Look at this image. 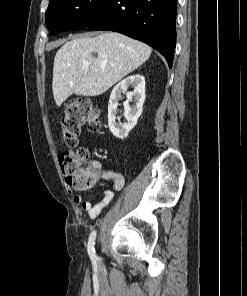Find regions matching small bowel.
I'll use <instances>...</instances> for the list:
<instances>
[{"label":"small bowel","instance_id":"obj_1","mask_svg":"<svg viewBox=\"0 0 247 296\" xmlns=\"http://www.w3.org/2000/svg\"><path fill=\"white\" fill-rule=\"evenodd\" d=\"M101 178L105 180H112L114 182V189L119 191L124 187L125 179L122 173L116 171L104 170L97 164ZM68 192L72 194L75 204L81 205L82 209L87 212L91 219H95L98 214L112 201L114 193L111 190H103L102 198L100 201L93 203L89 200H84L81 194H74L70 187L67 188Z\"/></svg>","mask_w":247,"mask_h":296}]
</instances>
